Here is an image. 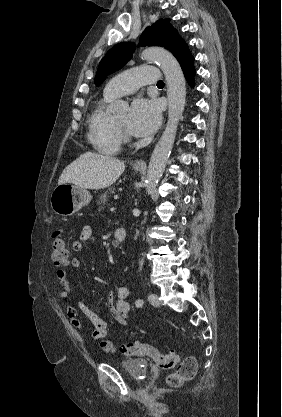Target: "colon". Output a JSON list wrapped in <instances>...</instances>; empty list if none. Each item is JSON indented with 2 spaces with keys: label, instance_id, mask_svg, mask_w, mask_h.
Segmentation results:
<instances>
[{
  "label": "colon",
  "instance_id": "5ec220e1",
  "mask_svg": "<svg viewBox=\"0 0 282 417\" xmlns=\"http://www.w3.org/2000/svg\"><path fill=\"white\" fill-rule=\"evenodd\" d=\"M51 257L54 264L58 266L67 267L70 263L68 252L66 250V243L62 230H56L51 239ZM122 348V349H121ZM104 351L113 355L115 350L111 344L104 346ZM122 356L132 357H144L150 359L154 365L160 369H171L179 362L181 355L175 351V348H170L169 353H163L156 347L149 343H127L120 347ZM198 370V360L195 356H188L186 361H182L178 369L175 372L170 373L167 376V383L169 386L178 387L184 381L192 379Z\"/></svg>",
  "mask_w": 282,
  "mask_h": 417
}]
</instances>
